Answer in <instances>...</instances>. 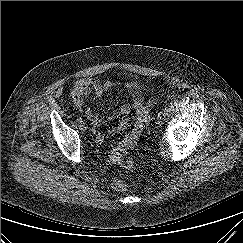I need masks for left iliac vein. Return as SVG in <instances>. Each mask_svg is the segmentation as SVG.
Returning <instances> with one entry per match:
<instances>
[{
	"mask_svg": "<svg viewBox=\"0 0 243 243\" xmlns=\"http://www.w3.org/2000/svg\"><path fill=\"white\" fill-rule=\"evenodd\" d=\"M161 122H162L161 117H157V119H156V125L157 126H160L161 125Z\"/></svg>",
	"mask_w": 243,
	"mask_h": 243,
	"instance_id": "left-iliac-vein-1",
	"label": "left iliac vein"
}]
</instances>
